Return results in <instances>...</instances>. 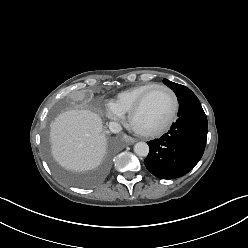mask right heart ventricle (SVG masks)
<instances>
[{"label":"right heart ventricle","mask_w":248,"mask_h":248,"mask_svg":"<svg viewBox=\"0 0 248 248\" xmlns=\"http://www.w3.org/2000/svg\"><path fill=\"white\" fill-rule=\"evenodd\" d=\"M157 85L156 83H144L128 88L120 92L110 103L113 109L121 116L130 113L140 96L148 89Z\"/></svg>","instance_id":"right-heart-ventricle-1"}]
</instances>
